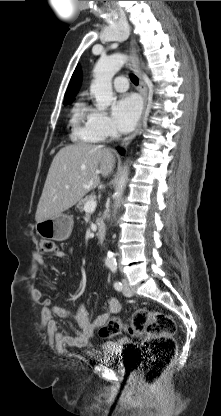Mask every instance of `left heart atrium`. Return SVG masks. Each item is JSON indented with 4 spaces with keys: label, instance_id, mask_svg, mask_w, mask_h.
Segmentation results:
<instances>
[{
    "label": "left heart atrium",
    "instance_id": "obj_1",
    "mask_svg": "<svg viewBox=\"0 0 221 416\" xmlns=\"http://www.w3.org/2000/svg\"><path fill=\"white\" fill-rule=\"evenodd\" d=\"M141 108L140 99L136 95H122L112 109L117 128L124 133L131 131L140 117Z\"/></svg>",
    "mask_w": 221,
    "mask_h": 416
}]
</instances>
